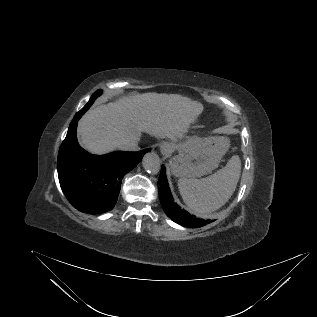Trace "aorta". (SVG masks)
Instances as JSON below:
<instances>
[{"instance_id": "aorta-1", "label": "aorta", "mask_w": 317, "mask_h": 317, "mask_svg": "<svg viewBox=\"0 0 317 317\" xmlns=\"http://www.w3.org/2000/svg\"><path fill=\"white\" fill-rule=\"evenodd\" d=\"M144 169L150 174H157L160 171L161 161L155 152H148L142 159Z\"/></svg>"}]
</instances>
